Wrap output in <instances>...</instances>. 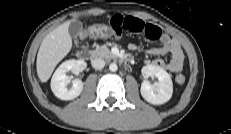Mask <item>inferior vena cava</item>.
I'll return each mask as SVG.
<instances>
[{
  "label": "inferior vena cava",
  "instance_id": "1",
  "mask_svg": "<svg viewBox=\"0 0 231 134\" xmlns=\"http://www.w3.org/2000/svg\"><path fill=\"white\" fill-rule=\"evenodd\" d=\"M91 64L95 69H102L105 66V61L101 58H95L91 61Z\"/></svg>",
  "mask_w": 231,
  "mask_h": 134
}]
</instances>
